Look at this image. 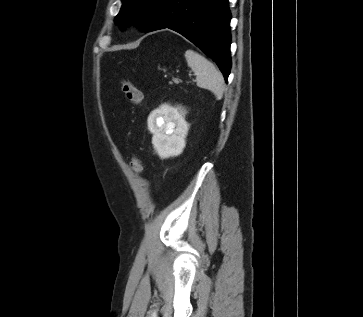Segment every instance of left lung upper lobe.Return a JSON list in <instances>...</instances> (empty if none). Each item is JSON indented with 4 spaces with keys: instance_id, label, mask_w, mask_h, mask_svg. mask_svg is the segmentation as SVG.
<instances>
[{
    "instance_id": "obj_1",
    "label": "left lung upper lobe",
    "mask_w": 363,
    "mask_h": 317,
    "mask_svg": "<svg viewBox=\"0 0 363 317\" xmlns=\"http://www.w3.org/2000/svg\"><path fill=\"white\" fill-rule=\"evenodd\" d=\"M122 7L115 23L135 22L145 30L151 23L160 0H122Z\"/></svg>"
}]
</instances>
